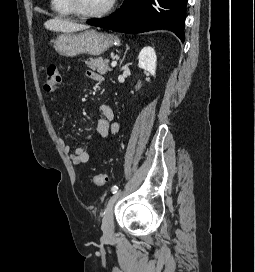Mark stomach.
I'll list each match as a JSON object with an SVG mask.
<instances>
[{"label":"stomach","instance_id":"stomach-1","mask_svg":"<svg viewBox=\"0 0 255 272\" xmlns=\"http://www.w3.org/2000/svg\"><path fill=\"white\" fill-rule=\"evenodd\" d=\"M112 45V36L95 30H86L81 33H63L54 40L55 50L66 57H75L80 54L98 56Z\"/></svg>","mask_w":255,"mask_h":272}]
</instances>
